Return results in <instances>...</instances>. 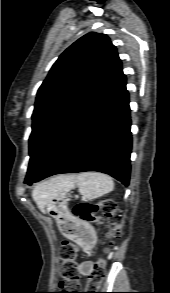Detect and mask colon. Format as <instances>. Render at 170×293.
Here are the masks:
<instances>
[{
    "mask_svg": "<svg viewBox=\"0 0 170 293\" xmlns=\"http://www.w3.org/2000/svg\"><path fill=\"white\" fill-rule=\"evenodd\" d=\"M72 213L78 221L65 215L59 218V226L64 234L81 232V223H107L106 238L112 242L122 236L123 217L112 200H104L100 203H79L73 207ZM100 213V214H98ZM61 261L59 273L62 278V287L52 293H92L91 289L100 285L106 274L105 260L101 258L89 276L85 292L78 274L77 247L70 242H63L58 250Z\"/></svg>",
    "mask_w": 170,
    "mask_h": 293,
    "instance_id": "colon-1",
    "label": "colon"
}]
</instances>
